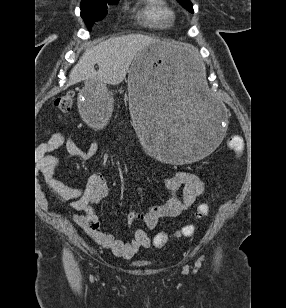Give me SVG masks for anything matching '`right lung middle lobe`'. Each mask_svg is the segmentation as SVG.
I'll list each match as a JSON object with an SVG mask.
<instances>
[{
    "label": "right lung middle lobe",
    "mask_w": 286,
    "mask_h": 308,
    "mask_svg": "<svg viewBox=\"0 0 286 308\" xmlns=\"http://www.w3.org/2000/svg\"><path fill=\"white\" fill-rule=\"evenodd\" d=\"M119 0H88L81 2V17L90 30L94 21L103 19L108 5L117 4Z\"/></svg>",
    "instance_id": "right-lung-middle-lobe-1"
}]
</instances>
